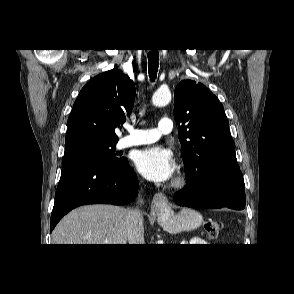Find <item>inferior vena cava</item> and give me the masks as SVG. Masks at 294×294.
<instances>
[{
  "mask_svg": "<svg viewBox=\"0 0 294 294\" xmlns=\"http://www.w3.org/2000/svg\"><path fill=\"white\" fill-rule=\"evenodd\" d=\"M140 203H142V200H140ZM127 240H128V244H132V245L145 244L143 215L141 210L138 207L133 209H128Z\"/></svg>",
  "mask_w": 294,
  "mask_h": 294,
  "instance_id": "inferior-vena-cava-1",
  "label": "inferior vena cava"
}]
</instances>
